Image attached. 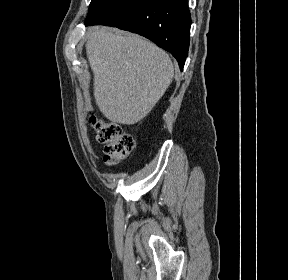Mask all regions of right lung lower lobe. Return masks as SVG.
Listing matches in <instances>:
<instances>
[{"label": "right lung lower lobe", "instance_id": "right-lung-lower-lobe-1", "mask_svg": "<svg viewBox=\"0 0 288 280\" xmlns=\"http://www.w3.org/2000/svg\"><path fill=\"white\" fill-rule=\"evenodd\" d=\"M108 25L140 34L170 52L181 71L188 55L191 16L187 0H116L85 25Z\"/></svg>", "mask_w": 288, "mask_h": 280}]
</instances>
